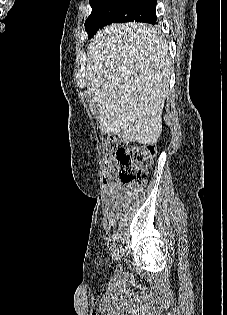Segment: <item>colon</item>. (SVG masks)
<instances>
[{
	"instance_id": "colon-1",
	"label": "colon",
	"mask_w": 227,
	"mask_h": 315,
	"mask_svg": "<svg viewBox=\"0 0 227 315\" xmlns=\"http://www.w3.org/2000/svg\"><path fill=\"white\" fill-rule=\"evenodd\" d=\"M121 142V137L116 134L107 138L108 158L102 169V179L109 183L118 178L123 184L140 190L147 181L155 148L150 144L136 143L124 149L119 147Z\"/></svg>"
}]
</instances>
